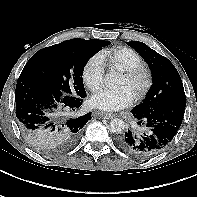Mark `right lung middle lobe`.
<instances>
[{
  "mask_svg": "<svg viewBox=\"0 0 197 197\" xmlns=\"http://www.w3.org/2000/svg\"><path fill=\"white\" fill-rule=\"evenodd\" d=\"M105 40L70 39L43 48L27 62L21 74L55 83L64 95L85 98L83 70L88 60L103 47Z\"/></svg>",
  "mask_w": 197,
  "mask_h": 197,
  "instance_id": "right-lung-middle-lobe-1",
  "label": "right lung middle lobe"
}]
</instances>
